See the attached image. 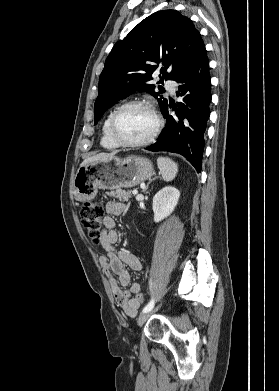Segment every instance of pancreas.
<instances>
[{
	"label": "pancreas",
	"instance_id": "cf45deb5",
	"mask_svg": "<svg viewBox=\"0 0 279 391\" xmlns=\"http://www.w3.org/2000/svg\"><path fill=\"white\" fill-rule=\"evenodd\" d=\"M106 194L110 197L117 198L120 201H128L132 196L131 191H124V190L110 191L107 192Z\"/></svg>",
	"mask_w": 279,
	"mask_h": 391
}]
</instances>
